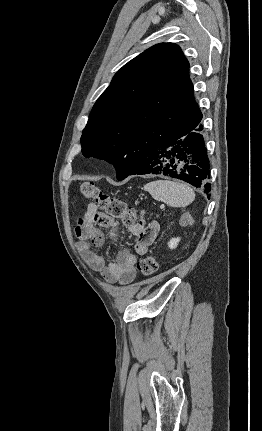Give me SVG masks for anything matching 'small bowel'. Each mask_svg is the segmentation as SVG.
<instances>
[{"label":"small bowel","mask_w":262,"mask_h":431,"mask_svg":"<svg viewBox=\"0 0 262 431\" xmlns=\"http://www.w3.org/2000/svg\"><path fill=\"white\" fill-rule=\"evenodd\" d=\"M118 222L99 212L94 202L88 204L84 216L75 228L79 247L83 251L88 264L95 272L101 274L109 282L126 285L131 283L136 275L135 261L138 256L146 254L154 243L160 224L153 220L147 226L136 223L127 225L130 234L136 237L134 252L130 249H118L115 259L106 263L105 259L96 253L93 248L104 245L105 237L102 228L111 229V237L115 240L118 236Z\"/></svg>","instance_id":"small-bowel-1"}]
</instances>
